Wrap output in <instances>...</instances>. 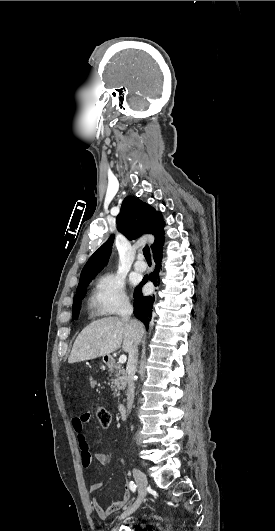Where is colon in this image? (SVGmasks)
I'll return each instance as SVG.
<instances>
[{
  "mask_svg": "<svg viewBox=\"0 0 275 531\" xmlns=\"http://www.w3.org/2000/svg\"><path fill=\"white\" fill-rule=\"evenodd\" d=\"M96 414H97L98 422L100 423L102 427L107 428L110 426L111 424L110 414L106 408L102 406H98Z\"/></svg>",
  "mask_w": 275,
  "mask_h": 531,
  "instance_id": "5ec220e1",
  "label": "colon"
}]
</instances>
